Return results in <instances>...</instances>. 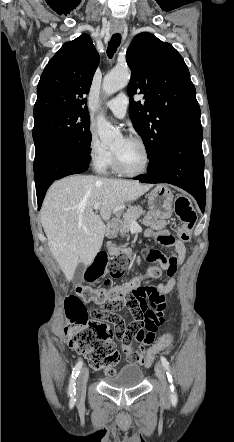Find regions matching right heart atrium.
<instances>
[{
	"label": "right heart atrium",
	"mask_w": 234,
	"mask_h": 442,
	"mask_svg": "<svg viewBox=\"0 0 234 442\" xmlns=\"http://www.w3.org/2000/svg\"><path fill=\"white\" fill-rule=\"evenodd\" d=\"M88 157L96 170L106 169L112 159V152L100 141L93 129L89 131Z\"/></svg>",
	"instance_id": "obj_1"
}]
</instances>
